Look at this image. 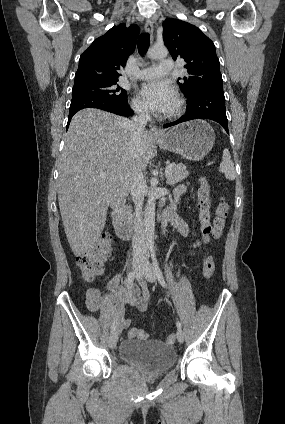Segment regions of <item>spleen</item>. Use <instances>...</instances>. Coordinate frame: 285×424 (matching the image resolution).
Listing matches in <instances>:
<instances>
[{"label": "spleen", "mask_w": 285, "mask_h": 424, "mask_svg": "<svg viewBox=\"0 0 285 424\" xmlns=\"http://www.w3.org/2000/svg\"><path fill=\"white\" fill-rule=\"evenodd\" d=\"M219 170L224 173L225 177L229 180H234L236 177L234 163L231 160V155L228 149H224L223 151L222 162Z\"/></svg>", "instance_id": "3e777b00"}]
</instances>
